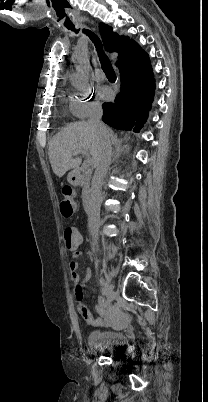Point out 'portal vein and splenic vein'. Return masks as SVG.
Wrapping results in <instances>:
<instances>
[{
    "instance_id": "18ae733b",
    "label": "portal vein and splenic vein",
    "mask_w": 208,
    "mask_h": 402,
    "mask_svg": "<svg viewBox=\"0 0 208 402\" xmlns=\"http://www.w3.org/2000/svg\"><path fill=\"white\" fill-rule=\"evenodd\" d=\"M73 156L75 157L76 162H81V158H78L79 157L78 153L73 154ZM84 156H86V158H87V160L85 162L86 166H91V164H93V160H92V158H90L87 150H86V152H81V157H84Z\"/></svg>"
}]
</instances>
